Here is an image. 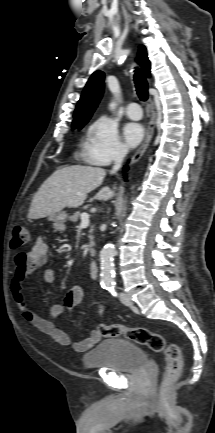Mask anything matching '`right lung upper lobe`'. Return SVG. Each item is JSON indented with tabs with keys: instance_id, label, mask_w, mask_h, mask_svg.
<instances>
[{
	"instance_id": "1",
	"label": "right lung upper lobe",
	"mask_w": 215,
	"mask_h": 433,
	"mask_svg": "<svg viewBox=\"0 0 215 433\" xmlns=\"http://www.w3.org/2000/svg\"><path fill=\"white\" fill-rule=\"evenodd\" d=\"M137 62L142 66L146 75L149 76L150 62L147 58L146 48L143 45H140L139 47ZM103 81L104 73L102 71H96L92 74L84 88L80 100L78 101L74 112L73 123L89 120L102 97L104 89Z\"/></svg>"
}]
</instances>
